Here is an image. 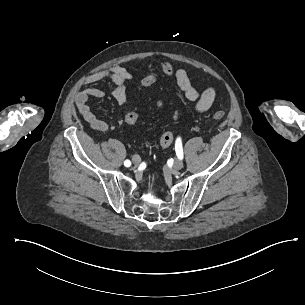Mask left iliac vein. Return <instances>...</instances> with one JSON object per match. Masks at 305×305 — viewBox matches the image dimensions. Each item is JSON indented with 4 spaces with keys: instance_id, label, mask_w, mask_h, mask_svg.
Wrapping results in <instances>:
<instances>
[{
    "instance_id": "left-iliac-vein-1",
    "label": "left iliac vein",
    "mask_w": 305,
    "mask_h": 305,
    "mask_svg": "<svg viewBox=\"0 0 305 305\" xmlns=\"http://www.w3.org/2000/svg\"><path fill=\"white\" fill-rule=\"evenodd\" d=\"M183 167V160L180 158L175 159V162L172 166L173 171H178Z\"/></svg>"
}]
</instances>
